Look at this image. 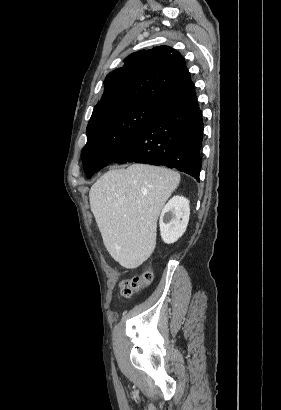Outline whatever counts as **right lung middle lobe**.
Returning <instances> with one entry per match:
<instances>
[{"label":"right lung middle lobe","instance_id":"obj_1","mask_svg":"<svg viewBox=\"0 0 281 410\" xmlns=\"http://www.w3.org/2000/svg\"><path fill=\"white\" fill-rule=\"evenodd\" d=\"M161 108L135 103L104 108L92 114L81 158L87 178L112 163L138 137Z\"/></svg>","mask_w":281,"mask_h":410}]
</instances>
